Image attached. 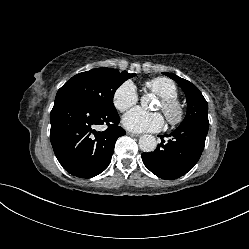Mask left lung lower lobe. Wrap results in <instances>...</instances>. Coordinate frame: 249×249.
Returning <instances> with one entry per match:
<instances>
[{
    "label": "left lung lower lobe",
    "instance_id": "left-lung-lower-lobe-1",
    "mask_svg": "<svg viewBox=\"0 0 249 249\" xmlns=\"http://www.w3.org/2000/svg\"><path fill=\"white\" fill-rule=\"evenodd\" d=\"M209 121L198 119L180 125L150 153H142L144 165L156 176L172 180L185 175L198 162L205 145ZM164 137H170L168 141Z\"/></svg>",
    "mask_w": 249,
    "mask_h": 249
}]
</instances>
